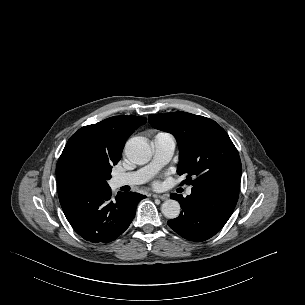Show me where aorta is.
Returning a JSON list of instances; mask_svg holds the SVG:
<instances>
[{
	"mask_svg": "<svg viewBox=\"0 0 305 305\" xmlns=\"http://www.w3.org/2000/svg\"><path fill=\"white\" fill-rule=\"evenodd\" d=\"M124 150L127 158L134 164H146L152 157L150 145L139 138L128 140ZM161 211L168 219L177 218L180 214V204L176 200L168 199L162 204Z\"/></svg>",
	"mask_w": 305,
	"mask_h": 305,
	"instance_id": "762f6f07",
	"label": "aorta"
}]
</instances>
